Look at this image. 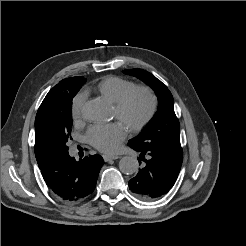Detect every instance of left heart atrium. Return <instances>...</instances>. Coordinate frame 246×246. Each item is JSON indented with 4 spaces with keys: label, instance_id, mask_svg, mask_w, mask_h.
<instances>
[{
    "label": "left heart atrium",
    "instance_id": "obj_1",
    "mask_svg": "<svg viewBox=\"0 0 246 246\" xmlns=\"http://www.w3.org/2000/svg\"><path fill=\"white\" fill-rule=\"evenodd\" d=\"M127 127L120 121L112 123H96L87 131V141L99 151L116 152L125 139Z\"/></svg>",
    "mask_w": 246,
    "mask_h": 246
}]
</instances>
